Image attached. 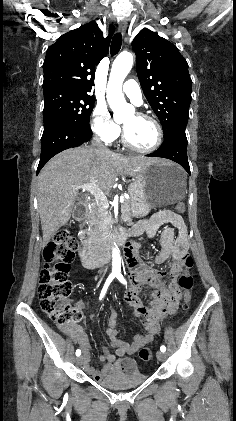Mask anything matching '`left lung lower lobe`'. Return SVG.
<instances>
[{
    "instance_id": "obj_1",
    "label": "left lung lower lobe",
    "mask_w": 236,
    "mask_h": 421,
    "mask_svg": "<svg viewBox=\"0 0 236 421\" xmlns=\"http://www.w3.org/2000/svg\"><path fill=\"white\" fill-rule=\"evenodd\" d=\"M186 124H178L164 134V142L161 147L147 156L162 157L179 163L190 175V167L187 157V138L185 134Z\"/></svg>"
}]
</instances>
